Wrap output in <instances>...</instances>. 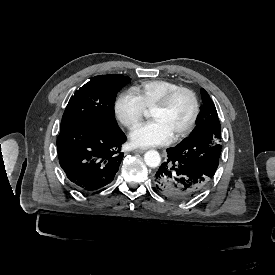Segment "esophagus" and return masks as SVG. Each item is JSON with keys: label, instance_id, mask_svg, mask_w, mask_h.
<instances>
[{"label": "esophagus", "instance_id": "34e87169", "mask_svg": "<svg viewBox=\"0 0 275 275\" xmlns=\"http://www.w3.org/2000/svg\"><path fill=\"white\" fill-rule=\"evenodd\" d=\"M133 152L134 153H144L145 149H135Z\"/></svg>", "mask_w": 275, "mask_h": 275}]
</instances>
